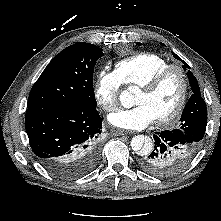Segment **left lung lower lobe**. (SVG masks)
<instances>
[{"mask_svg": "<svg viewBox=\"0 0 221 221\" xmlns=\"http://www.w3.org/2000/svg\"><path fill=\"white\" fill-rule=\"evenodd\" d=\"M152 151L140 158V167L158 177L172 176L192 160L198 147L180 129L156 132Z\"/></svg>", "mask_w": 221, "mask_h": 221, "instance_id": "obj_1", "label": "left lung lower lobe"}]
</instances>
